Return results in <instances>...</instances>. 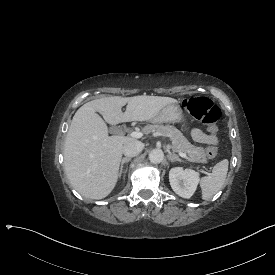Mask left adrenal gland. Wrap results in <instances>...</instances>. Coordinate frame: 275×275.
I'll return each mask as SVG.
<instances>
[{"mask_svg":"<svg viewBox=\"0 0 275 275\" xmlns=\"http://www.w3.org/2000/svg\"><path fill=\"white\" fill-rule=\"evenodd\" d=\"M168 151V150H167ZM167 158L169 161L171 162H175V161H179L181 162L182 160L178 157V155L174 154V153H171L168 151V155H167Z\"/></svg>","mask_w":275,"mask_h":275,"instance_id":"obj_1","label":"left adrenal gland"}]
</instances>
